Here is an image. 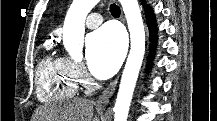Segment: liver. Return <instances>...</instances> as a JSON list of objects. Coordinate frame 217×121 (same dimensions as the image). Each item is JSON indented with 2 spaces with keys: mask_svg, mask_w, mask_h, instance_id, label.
I'll return each instance as SVG.
<instances>
[{
  "mask_svg": "<svg viewBox=\"0 0 217 121\" xmlns=\"http://www.w3.org/2000/svg\"><path fill=\"white\" fill-rule=\"evenodd\" d=\"M95 103L88 99L78 98L39 110V121H98L93 117Z\"/></svg>",
  "mask_w": 217,
  "mask_h": 121,
  "instance_id": "obj_1",
  "label": "liver"
}]
</instances>
